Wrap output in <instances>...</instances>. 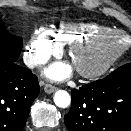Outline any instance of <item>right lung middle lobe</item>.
Masks as SVG:
<instances>
[{
  "mask_svg": "<svg viewBox=\"0 0 131 131\" xmlns=\"http://www.w3.org/2000/svg\"><path fill=\"white\" fill-rule=\"evenodd\" d=\"M23 46L20 37L9 34L0 19V59L14 62L18 59Z\"/></svg>",
  "mask_w": 131,
  "mask_h": 131,
  "instance_id": "obj_1",
  "label": "right lung middle lobe"
}]
</instances>
